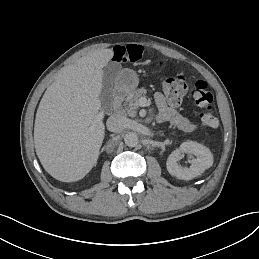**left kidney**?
Returning <instances> with one entry per match:
<instances>
[{
  "label": "left kidney",
  "instance_id": "left-kidney-1",
  "mask_svg": "<svg viewBox=\"0 0 259 259\" xmlns=\"http://www.w3.org/2000/svg\"><path fill=\"white\" fill-rule=\"evenodd\" d=\"M184 154L195 156L190 167L183 168L177 164ZM212 164L213 157L209 149L196 142L182 143L179 148L171 152L166 162L168 172L180 180H191L201 175Z\"/></svg>",
  "mask_w": 259,
  "mask_h": 259
}]
</instances>
